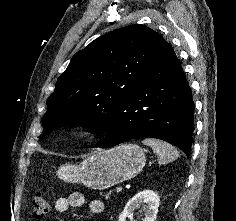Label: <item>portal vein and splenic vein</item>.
I'll return each instance as SVG.
<instances>
[{
  "instance_id": "18ae733b",
  "label": "portal vein and splenic vein",
  "mask_w": 236,
  "mask_h": 221,
  "mask_svg": "<svg viewBox=\"0 0 236 221\" xmlns=\"http://www.w3.org/2000/svg\"><path fill=\"white\" fill-rule=\"evenodd\" d=\"M122 190H123V187H122V186H118V187L116 188V192H117V193H120Z\"/></svg>"
}]
</instances>
